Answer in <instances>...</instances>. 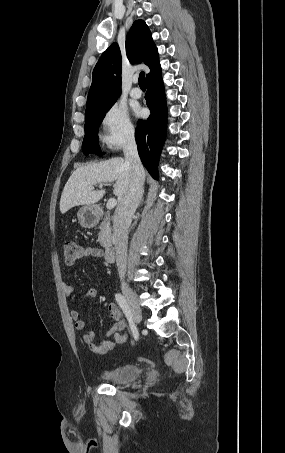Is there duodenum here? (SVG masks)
Masks as SVG:
<instances>
[{"instance_id": "410a0bca", "label": "duodenum", "mask_w": 285, "mask_h": 453, "mask_svg": "<svg viewBox=\"0 0 285 453\" xmlns=\"http://www.w3.org/2000/svg\"><path fill=\"white\" fill-rule=\"evenodd\" d=\"M103 255L104 259L109 263L115 260L116 248L113 242H109L105 245Z\"/></svg>"}]
</instances>
